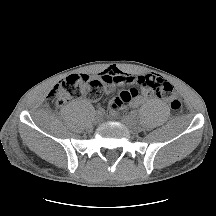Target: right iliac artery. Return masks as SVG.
<instances>
[{
	"label": "right iliac artery",
	"mask_w": 216,
	"mask_h": 216,
	"mask_svg": "<svg viewBox=\"0 0 216 216\" xmlns=\"http://www.w3.org/2000/svg\"><path fill=\"white\" fill-rule=\"evenodd\" d=\"M96 114L100 115V116H103L105 114V110L103 108H99L97 111H96Z\"/></svg>",
	"instance_id": "1"
}]
</instances>
